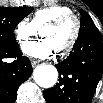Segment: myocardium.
Instances as JSON below:
<instances>
[{
    "instance_id": "1",
    "label": "myocardium",
    "mask_w": 103,
    "mask_h": 103,
    "mask_svg": "<svg viewBox=\"0 0 103 103\" xmlns=\"http://www.w3.org/2000/svg\"><path fill=\"white\" fill-rule=\"evenodd\" d=\"M69 22L73 23L74 30H73V34H72L70 40L68 41V43L64 47H62L61 49L57 50L62 55L68 54L74 48V46L79 38L80 30H81V23H80L79 18L72 13L62 15V16L56 18L55 20L47 23L42 28V30L45 28H58V27H61Z\"/></svg>"
}]
</instances>
